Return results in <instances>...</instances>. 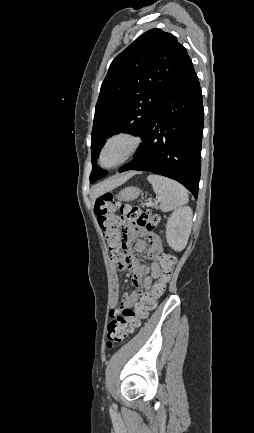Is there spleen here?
<instances>
[{
  "label": "spleen",
  "mask_w": 254,
  "mask_h": 433,
  "mask_svg": "<svg viewBox=\"0 0 254 433\" xmlns=\"http://www.w3.org/2000/svg\"><path fill=\"white\" fill-rule=\"evenodd\" d=\"M147 179L159 196L162 211L168 212L188 203L187 191L178 182L155 174H150Z\"/></svg>",
  "instance_id": "spleen-1"
}]
</instances>
